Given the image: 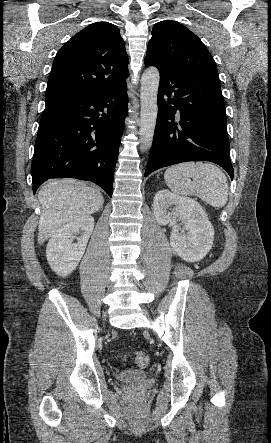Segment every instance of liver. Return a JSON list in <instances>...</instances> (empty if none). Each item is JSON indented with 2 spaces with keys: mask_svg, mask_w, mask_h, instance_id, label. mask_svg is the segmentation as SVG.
I'll use <instances>...</instances> for the list:
<instances>
[{
  "mask_svg": "<svg viewBox=\"0 0 271 443\" xmlns=\"http://www.w3.org/2000/svg\"><path fill=\"white\" fill-rule=\"evenodd\" d=\"M38 200L42 206L38 243H44L64 223L95 214L104 204L100 190L88 188L86 184L73 178L49 180L42 186Z\"/></svg>",
  "mask_w": 271,
  "mask_h": 443,
  "instance_id": "1",
  "label": "liver"
}]
</instances>
